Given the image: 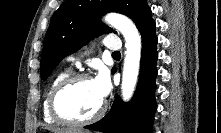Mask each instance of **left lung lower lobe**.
<instances>
[{
  "label": "left lung lower lobe",
  "instance_id": "1",
  "mask_svg": "<svg viewBox=\"0 0 221 133\" xmlns=\"http://www.w3.org/2000/svg\"><path fill=\"white\" fill-rule=\"evenodd\" d=\"M156 24L150 22L140 33L142 35V58L140 79L132 100L125 104L117 97L109 113L100 121L85 126L86 129L103 133H152L156 111L154 93L157 75ZM116 71L113 68L112 72Z\"/></svg>",
  "mask_w": 221,
  "mask_h": 133
}]
</instances>
